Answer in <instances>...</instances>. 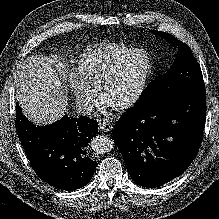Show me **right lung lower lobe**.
Returning <instances> with one entry per match:
<instances>
[{"instance_id": "98d812e1", "label": "right lung lower lobe", "mask_w": 219, "mask_h": 219, "mask_svg": "<svg viewBox=\"0 0 219 219\" xmlns=\"http://www.w3.org/2000/svg\"><path fill=\"white\" fill-rule=\"evenodd\" d=\"M16 132L36 174L51 186L72 191L91 180L97 163L87 155L98 123L86 116H63L51 125L36 127L16 103Z\"/></svg>"}]
</instances>
